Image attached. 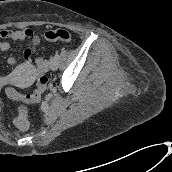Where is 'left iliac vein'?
Instances as JSON below:
<instances>
[{
    "mask_svg": "<svg viewBox=\"0 0 172 172\" xmlns=\"http://www.w3.org/2000/svg\"><path fill=\"white\" fill-rule=\"evenodd\" d=\"M49 68L53 71L57 69V59L55 57H52L49 61Z\"/></svg>",
    "mask_w": 172,
    "mask_h": 172,
    "instance_id": "obj_1",
    "label": "left iliac vein"
}]
</instances>
